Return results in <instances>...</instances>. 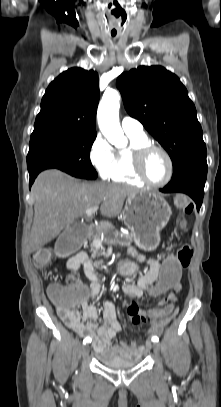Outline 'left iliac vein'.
Wrapping results in <instances>:
<instances>
[{
  "mask_svg": "<svg viewBox=\"0 0 221 407\" xmlns=\"http://www.w3.org/2000/svg\"><path fill=\"white\" fill-rule=\"evenodd\" d=\"M153 350H154V352H155L156 354H159V353H160V350H161L160 343L154 342V343H153Z\"/></svg>",
  "mask_w": 221,
  "mask_h": 407,
  "instance_id": "4c4485c4",
  "label": "left iliac vein"
}]
</instances>
